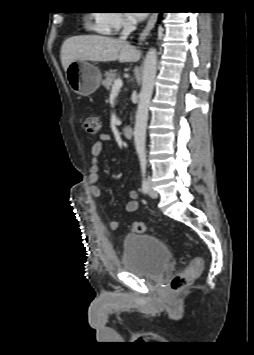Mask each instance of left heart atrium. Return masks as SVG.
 Instances as JSON below:
<instances>
[{"instance_id":"1","label":"left heart atrium","mask_w":254,"mask_h":355,"mask_svg":"<svg viewBox=\"0 0 254 355\" xmlns=\"http://www.w3.org/2000/svg\"><path fill=\"white\" fill-rule=\"evenodd\" d=\"M133 16H134L135 20L139 21V20H142L146 16V14L141 13V12H134Z\"/></svg>"}]
</instances>
